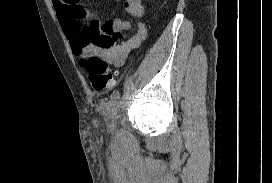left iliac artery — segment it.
<instances>
[{
	"label": "left iliac artery",
	"mask_w": 272,
	"mask_h": 183,
	"mask_svg": "<svg viewBox=\"0 0 272 183\" xmlns=\"http://www.w3.org/2000/svg\"><path fill=\"white\" fill-rule=\"evenodd\" d=\"M120 97V93L118 91H115L112 95H111V99L112 100H117Z\"/></svg>",
	"instance_id": "left-iliac-artery-1"
}]
</instances>
